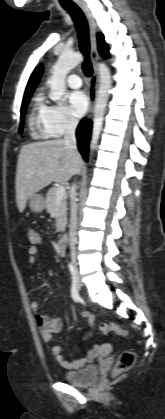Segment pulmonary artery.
<instances>
[{
  "label": "pulmonary artery",
  "mask_w": 165,
  "mask_h": 419,
  "mask_svg": "<svg viewBox=\"0 0 165 419\" xmlns=\"http://www.w3.org/2000/svg\"><path fill=\"white\" fill-rule=\"evenodd\" d=\"M67 84L74 89L80 88L82 86V80L77 74H71L67 78Z\"/></svg>",
  "instance_id": "e3ab8cb5"
}]
</instances>
